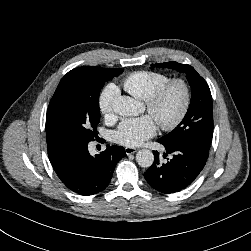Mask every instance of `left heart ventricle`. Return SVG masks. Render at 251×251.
<instances>
[{"label": "left heart ventricle", "instance_id": "left-heart-ventricle-1", "mask_svg": "<svg viewBox=\"0 0 251 251\" xmlns=\"http://www.w3.org/2000/svg\"><path fill=\"white\" fill-rule=\"evenodd\" d=\"M182 92L179 88L172 89L161 101L158 108L150 114L157 121H170L178 113L182 104Z\"/></svg>", "mask_w": 251, "mask_h": 251}]
</instances>
